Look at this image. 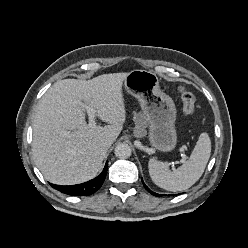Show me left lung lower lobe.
I'll return each mask as SVG.
<instances>
[{
	"instance_id": "1",
	"label": "left lung lower lobe",
	"mask_w": 248,
	"mask_h": 248,
	"mask_svg": "<svg viewBox=\"0 0 248 248\" xmlns=\"http://www.w3.org/2000/svg\"><path fill=\"white\" fill-rule=\"evenodd\" d=\"M142 182H143V181H142ZM143 185H144V187L146 188V190H147L148 192H150L152 195L157 196V197H160V196H161L160 194H157V193L152 192V191L144 184V182H143Z\"/></svg>"
}]
</instances>
